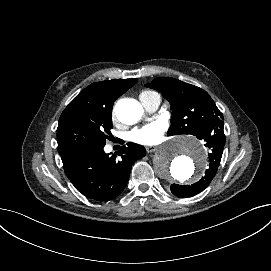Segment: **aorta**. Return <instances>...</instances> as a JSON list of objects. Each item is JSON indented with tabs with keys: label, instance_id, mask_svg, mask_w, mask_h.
Wrapping results in <instances>:
<instances>
[{
	"label": "aorta",
	"instance_id": "762f6f07",
	"mask_svg": "<svg viewBox=\"0 0 271 271\" xmlns=\"http://www.w3.org/2000/svg\"><path fill=\"white\" fill-rule=\"evenodd\" d=\"M117 119L135 124L143 115L141 104L133 99L119 101L115 107ZM154 168L168 181L191 182L206 166V152L197 140L181 137L165 143L154 156Z\"/></svg>",
	"mask_w": 271,
	"mask_h": 271
}]
</instances>
